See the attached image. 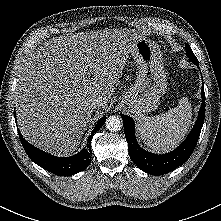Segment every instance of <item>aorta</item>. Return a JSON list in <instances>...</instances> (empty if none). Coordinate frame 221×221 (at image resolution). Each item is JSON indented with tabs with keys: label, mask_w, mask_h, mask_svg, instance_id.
<instances>
[{
	"label": "aorta",
	"mask_w": 221,
	"mask_h": 221,
	"mask_svg": "<svg viewBox=\"0 0 221 221\" xmlns=\"http://www.w3.org/2000/svg\"><path fill=\"white\" fill-rule=\"evenodd\" d=\"M106 128L111 132H117L122 128V120L116 115L109 116L106 120Z\"/></svg>",
	"instance_id": "1"
}]
</instances>
